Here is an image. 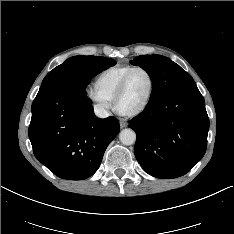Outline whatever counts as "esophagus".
Wrapping results in <instances>:
<instances>
[{"mask_svg": "<svg viewBox=\"0 0 234 234\" xmlns=\"http://www.w3.org/2000/svg\"><path fill=\"white\" fill-rule=\"evenodd\" d=\"M127 125H128V124H127V122H126L125 120H121V121H120V127H121V128H125V127H127Z\"/></svg>", "mask_w": 234, "mask_h": 234, "instance_id": "esophagus-1", "label": "esophagus"}]
</instances>
